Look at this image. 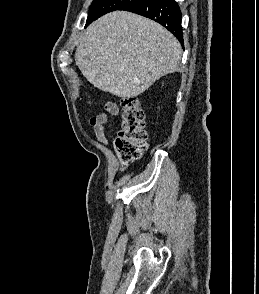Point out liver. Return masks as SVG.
<instances>
[{
	"mask_svg": "<svg viewBox=\"0 0 259 294\" xmlns=\"http://www.w3.org/2000/svg\"><path fill=\"white\" fill-rule=\"evenodd\" d=\"M181 56L180 43L160 24L115 11L89 25L80 39L75 61L94 87L130 98L177 71Z\"/></svg>",
	"mask_w": 259,
	"mask_h": 294,
	"instance_id": "obj_1",
	"label": "liver"
}]
</instances>
